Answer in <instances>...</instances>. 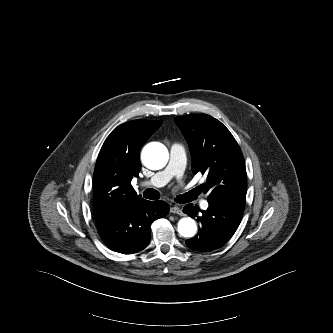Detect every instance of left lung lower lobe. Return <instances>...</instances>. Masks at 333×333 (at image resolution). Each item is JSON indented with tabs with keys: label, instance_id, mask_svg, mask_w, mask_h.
<instances>
[{
	"label": "left lung lower lobe",
	"instance_id": "1",
	"mask_svg": "<svg viewBox=\"0 0 333 333\" xmlns=\"http://www.w3.org/2000/svg\"><path fill=\"white\" fill-rule=\"evenodd\" d=\"M246 196L218 197L209 202L207 210L188 204L183 211L201 223L198 234L186 241L188 247L208 252L223 246L237 230L245 208ZM200 211V214H199Z\"/></svg>",
	"mask_w": 333,
	"mask_h": 333
}]
</instances>
